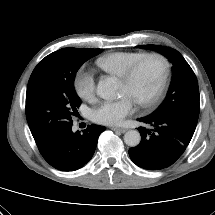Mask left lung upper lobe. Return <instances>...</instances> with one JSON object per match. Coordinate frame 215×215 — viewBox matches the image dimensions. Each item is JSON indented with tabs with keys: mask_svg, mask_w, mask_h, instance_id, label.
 Instances as JSON below:
<instances>
[{
	"mask_svg": "<svg viewBox=\"0 0 215 215\" xmlns=\"http://www.w3.org/2000/svg\"><path fill=\"white\" fill-rule=\"evenodd\" d=\"M166 56L172 63V81L162 104L150 116H177L190 124L197 125L199 116V88L197 78L175 49L158 45H141Z\"/></svg>",
	"mask_w": 215,
	"mask_h": 215,
	"instance_id": "5c2ea615",
	"label": "left lung upper lobe"
}]
</instances>
